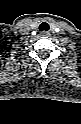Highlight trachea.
Here are the masks:
<instances>
[{
	"instance_id": "obj_1",
	"label": "trachea",
	"mask_w": 81,
	"mask_h": 124,
	"mask_svg": "<svg viewBox=\"0 0 81 124\" xmlns=\"http://www.w3.org/2000/svg\"><path fill=\"white\" fill-rule=\"evenodd\" d=\"M40 31H48L49 30V25L46 22H43L39 26Z\"/></svg>"
}]
</instances>
